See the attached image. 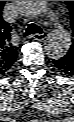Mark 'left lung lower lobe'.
I'll return each instance as SVG.
<instances>
[{"label": "left lung lower lobe", "mask_w": 74, "mask_h": 122, "mask_svg": "<svg viewBox=\"0 0 74 122\" xmlns=\"http://www.w3.org/2000/svg\"><path fill=\"white\" fill-rule=\"evenodd\" d=\"M53 63L65 74L74 76V58L65 55L59 59L53 60Z\"/></svg>", "instance_id": "1"}]
</instances>
